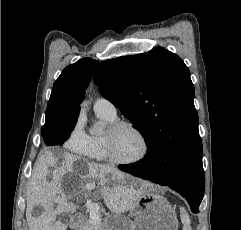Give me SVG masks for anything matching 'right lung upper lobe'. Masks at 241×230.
Here are the masks:
<instances>
[{
	"label": "right lung upper lobe",
	"mask_w": 241,
	"mask_h": 230,
	"mask_svg": "<svg viewBox=\"0 0 241 230\" xmlns=\"http://www.w3.org/2000/svg\"><path fill=\"white\" fill-rule=\"evenodd\" d=\"M98 65L97 60L83 58L62 71L54 83L45 113L46 121L78 119L79 103Z\"/></svg>",
	"instance_id": "right-lung-upper-lobe-1"
}]
</instances>
